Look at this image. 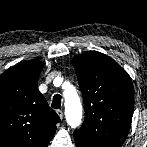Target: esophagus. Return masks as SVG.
<instances>
[{
	"label": "esophagus",
	"instance_id": "esophagus-1",
	"mask_svg": "<svg viewBox=\"0 0 147 147\" xmlns=\"http://www.w3.org/2000/svg\"><path fill=\"white\" fill-rule=\"evenodd\" d=\"M56 112H57L58 116L60 117V119L62 120L64 118L63 111L62 110H57Z\"/></svg>",
	"mask_w": 147,
	"mask_h": 147
}]
</instances>
